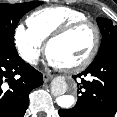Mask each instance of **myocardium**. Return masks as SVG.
I'll return each mask as SVG.
<instances>
[{
	"instance_id": "1",
	"label": "myocardium",
	"mask_w": 117,
	"mask_h": 117,
	"mask_svg": "<svg viewBox=\"0 0 117 117\" xmlns=\"http://www.w3.org/2000/svg\"><path fill=\"white\" fill-rule=\"evenodd\" d=\"M83 27L92 28V30L94 32L93 47H92L90 53L87 55V57L84 58L82 61H80L72 66H69V67H63V69L67 72L82 71V70L86 69L96 58L99 48H100V44H101V32H100L98 25L89 19L75 21V22L69 23V24L63 26L62 28H60L59 30H57L46 41L45 51H46V55L49 56L50 46L54 42L67 37L68 35L72 34L73 32H75Z\"/></svg>"
}]
</instances>
